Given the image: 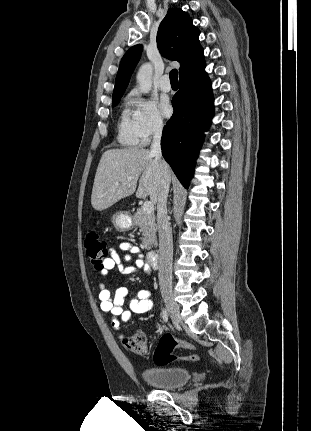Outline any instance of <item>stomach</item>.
<instances>
[{"label":"stomach","mask_w":311,"mask_h":431,"mask_svg":"<svg viewBox=\"0 0 311 431\" xmlns=\"http://www.w3.org/2000/svg\"><path fill=\"white\" fill-rule=\"evenodd\" d=\"M111 221L117 231H129L135 225V219L129 212H117V214H113Z\"/></svg>","instance_id":"stomach-1"}]
</instances>
